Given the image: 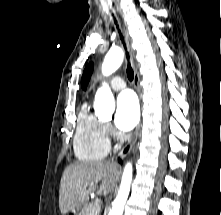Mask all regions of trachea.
<instances>
[{"label":"trachea","mask_w":221,"mask_h":215,"mask_svg":"<svg viewBox=\"0 0 221 215\" xmlns=\"http://www.w3.org/2000/svg\"><path fill=\"white\" fill-rule=\"evenodd\" d=\"M115 24L117 25V21H116V20H115ZM117 28H118V25H117ZM119 34H120V38H121V40H122V43H123V45H124V47H125V49H126V45H125V43H124L123 37H122V35H121V33H120V30H119ZM127 59L129 60V54H128V53H127ZM127 77H128V79H129L130 81H132L133 78H134V72H133V70H132L131 65H130L129 62H128V66H127Z\"/></svg>","instance_id":"3493384b"}]
</instances>
